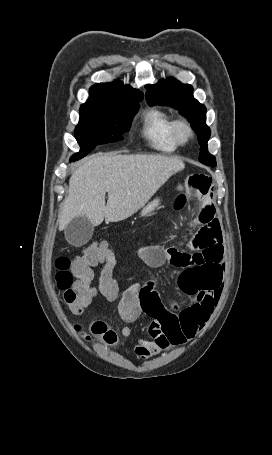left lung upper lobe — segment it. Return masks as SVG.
<instances>
[{"label": "left lung upper lobe", "instance_id": "obj_1", "mask_svg": "<svg viewBox=\"0 0 272 455\" xmlns=\"http://www.w3.org/2000/svg\"><path fill=\"white\" fill-rule=\"evenodd\" d=\"M145 87L149 105L171 106L188 119L192 129L198 135L201 146L199 161L211 167L216 166L215 157L207 149L211 131L206 125V108L194 98L193 87L189 84H182L174 78L160 80L155 85Z\"/></svg>", "mask_w": 272, "mask_h": 455}]
</instances>
